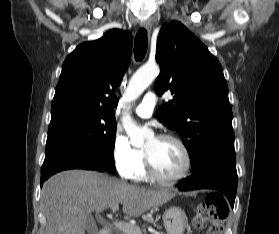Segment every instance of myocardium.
Instances as JSON below:
<instances>
[{
  "instance_id": "1",
  "label": "myocardium",
  "mask_w": 279,
  "mask_h": 234,
  "mask_svg": "<svg viewBox=\"0 0 279 234\" xmlns=\"http://www.w3.org/2000/svg\"><path fill=\"white\" fill-rule=\"evenodd\" d=\"M155 138L160 141L167 140V141H172L175 144H177L183 153V156L185 159V166L178 176H176L174 178H165L157 172L150 154L144 150V159H145L147 175L150 179H152L153 181H155L157 183H160L163 185H176V184L180 183L181 181H183L189 175V173L191 171V168H192L191 153H190L188 147L186 146V144L179 137H177L175 135L160 134V135L156 136Z\"/></svg>"
}]
</instances>
